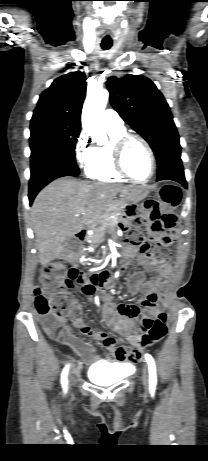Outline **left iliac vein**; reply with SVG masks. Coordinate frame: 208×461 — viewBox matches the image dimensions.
Wrapping results in <instances>:
<instances>
[{"label":"left iliac vein","instance_id":"left-iliac-vein-1","mask_svg":"<svg viewBox=\"0 0 208 461\" xmlns=\"http://www.w3.org/2000/svg\"><path fill=\"white\" fill-rule=\"evenodd\" d=\"M149 378H150V375H149V368H148V365L147 364H144V367H143V375H142V382L144 384L145 387L148 386L149 384Z\"/></svg>","mask_w":208,"mask_h":461}]
</instances>
